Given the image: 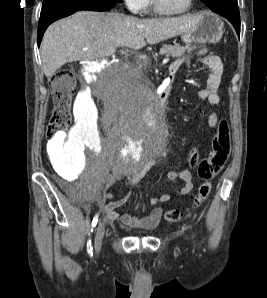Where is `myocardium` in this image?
Returning <instances> with one entry per match:
<instances>
[{
    "label": "myocardium",
    "mask_w": 267,
    "mask_h": 298,
    "mask_svg": "<svg viewBox=\"0 0 267 298\" xmlns=\"http://www.w3.org/2000/svg\"><path fill=\"white\" fill-rule=\"evenodd\" d=\"M193 3H194V0H188V4L187 6L182 10V11H179V12H171V11H167L165 10L159 0H151V4H152V8L153 10L159 14V15H163V16H181V15H184L186 13H188L192 6H193Z\"/></svg>",
    "instance_id": "f54148a6"
}]
</instances>
